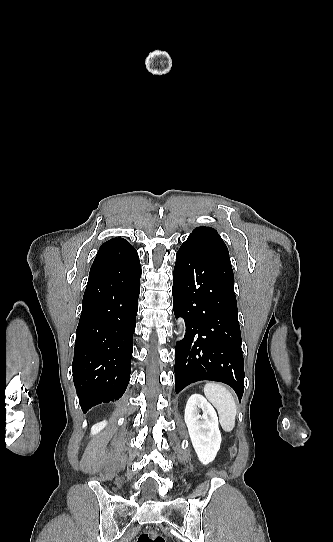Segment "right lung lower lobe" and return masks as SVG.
Segmentation results:
<instances>
[{
  "instance_id": "98d812e1",
  "label": "right lung lower lobe",
  "mask_w": 333,
  "mask_h": 542,
  "mask_svg": "<svg viewBox=\"0 0 333 542\" xmlns=\"http://www.w3.org/2000/svg\"><path fill=\"white\" fill-rule=\"evenodd\" d=\"M140 277L138 253L126 240L100 247L83 296L72 363L84 412L118 400L129 383Z\"/></svg>"
}]
</instances>
